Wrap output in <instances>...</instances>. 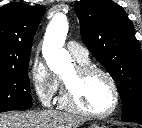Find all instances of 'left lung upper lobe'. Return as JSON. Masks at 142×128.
I'll use <instances>...</instances> for the list:
<instances>
[{"label":"left lung upper lobe","mask_w":142,"mask_h":128,"mask_svg":"<svg viewBox=\"0 0 142 128\" xmlns=\"http://www.w3.org/2000/svg\"><path fill=\"white\" fill-rule=\"evenodd\" d=\"M74 8L83 42L117 83L122 120L142 123V56L132 21L112 0H80Z\"/></svg>","instance_id":"obj_1"}]
</instances>
